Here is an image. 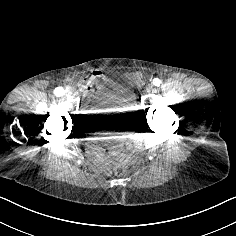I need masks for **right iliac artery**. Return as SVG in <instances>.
Returning a JSON list of instances; mask_svg holds the SVG:
<instances>
[{"label": "right iliac artery", "mask_w": 236, "mask_h": 236, "mask_svg": "<svg viewBox=\"0 0 236 236\" xmlns=\"http://www.w3.org/2000/svg\"><path fill=\"white\" fill-rule=\"evenodd\" d=\"M53 93L56 97H62L63 95H65V90L63 89V87H57L55 88Z\"/></svg>", "instance_id": "1"}]
</instances>
